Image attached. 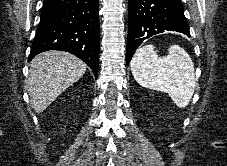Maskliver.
Masks as SVG:
<instances>
[{"instance_id":"obj_1","label":"liver","mask_w":227,"mask_h":166,"mask_svg":"<svg viewBox=\"0 0 227 166\" xmlns=\"http://www.w3.org/2000/svg\"><path fill=\"white\" fill-rule=\"evenodd\" d=\"M86 67L78 57L64 51H47L34 57L26 82L33 110L42 113L84 75Z\"/></svg>"}]
</instances>
